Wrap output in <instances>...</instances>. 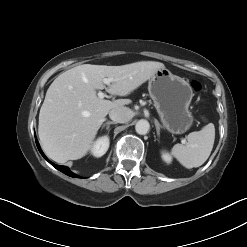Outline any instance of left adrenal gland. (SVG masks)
<instances>
[{"label":"left adrenal gland","instance_id":"obj_1","mask_svg":"<svg viewBox=\"0 0 247 247\" xmlns=\"http://www.w3.org/2000/svg\"><path fill=\"white\" fill-rule=\"evenodd\" d=\"M155 126H156V131H157V136L158 138L160 137V129H161V125L159 124L158 120L155 119Z\"/></svg>","mask_w":247,"mask_h":247}]
</instances>
